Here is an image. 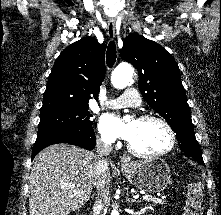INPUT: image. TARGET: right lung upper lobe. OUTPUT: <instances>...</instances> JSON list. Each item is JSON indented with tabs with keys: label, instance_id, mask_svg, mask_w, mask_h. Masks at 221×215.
Masks as SVG:
<instances>
[{
	"label": "right lung upper lobe",
	"instance_id": "1",
	"mask_svg": "<svg viewBox=\"0 0 221 215\" xmlns=\"http://www.w3.org/2000/svg\"><path fill=\"white\" fill-rule=\"evenodd\" d=\"M105 44L85 37L68 46L56 59L43 94L40 115L87 107L98 97L104 79Z\"/></svg>",
	"mask_w": 221,
	"mask_h": 215
}]
</instances>
